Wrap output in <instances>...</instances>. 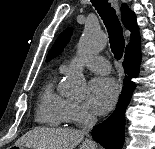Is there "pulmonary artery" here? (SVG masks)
Returning a JSON list of instances; mask_svg holds the SVG:
<instances>
[{"instance_id":"e3ab8cb5","label":"pulmonary artery","mask_w":155,"mask_h":149,"mask_svg":"<svg viewBox=\"0 0 155 149\" xmlns=\"http://www.w3.org/2000/svg\"><path fill=\"white\" fill-rule=\"evenodd\" d=\"M72 61L65 62L61 65L60 69L65 71ZM83 65L89 70L100 73V74H108L110 72V63L109 61L101 56L90 57L83 61Z\"/></svg>"}]
</instances>
